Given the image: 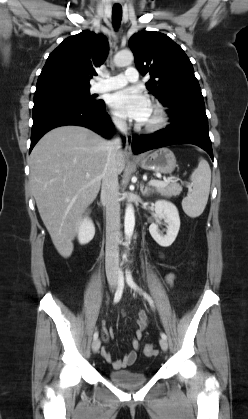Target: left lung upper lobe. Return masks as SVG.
<instances>
[{
	"mask_svg": "<svg viewBox=\"0 0 248 419\" xmlns=\"http://www.w3.org/2000/svg\"><path fill=\"white\" fill-rule=\"evenodd\" d=\"M129 46L139 72L151 75L146 87L170 108L169 115L190 107H205L193 65L171 38L156 31H142L130 38Z\"/></svg>",
	"mask_w": 248,
	"mask_h": 419,
	"instance_id": "1",
	"label": "left lung upper lobe"
}]
</instances>
